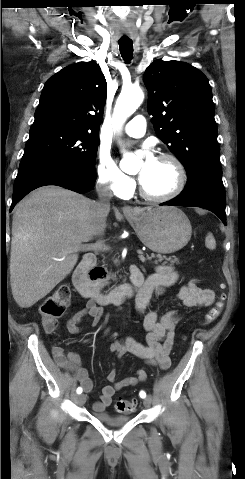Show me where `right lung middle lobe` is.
Returning a JSON list of instances; mask_svg holds the SVG:
<instances>
[{
	"instance_id": "dd1d6c3e",
	"label": "right lung middle lobe",
	"mask_w": 245,
	"mask_h": 479,
	"mask_svg": "<svg viewBox=\"0 0 245 479\" xmlns=\"http://www.w3.org/2000/svg\"><path fill=\"white\" fill-rule=\"evenodd\" d=\"M98 133L60 125L30 128L20 168L39 162H61L95 172Z\"/></svg>"
}]
</instances>
